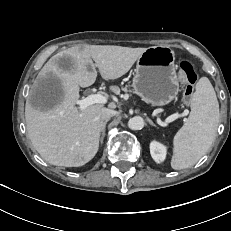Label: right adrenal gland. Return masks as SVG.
Masks as SVG:
<instances>
[{
  "label": "right adrenal gland",
  "mask_w": 231,
  "mask_h": 231,
  "mask_svg": "<svg viewBox=\"0 0 231 231\" xmlns=\"http://www.w3.org/2000/svg\"><path fill=\"white\" fill-rule=\"evenodd\" d=\"M108 121H109V120H105V121H103L102 124H101V130H100V132H101V134H102L101 141H102L103 138H104L105 126H106V124H107Z\"/></svg>",
  "instance_id": "2a0ac1e0"
}]
</instances>
